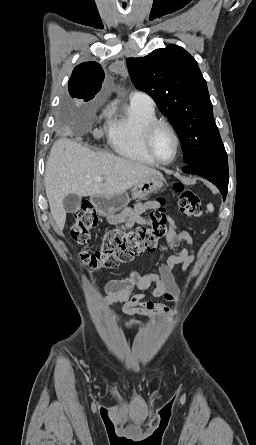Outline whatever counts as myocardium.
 Masks as SVG:
<instances>
[{
	"label": "myocardium",
	"instance_id": "obj_1",
	"mask_svg": "<svg viewBox=\"0 0 256 445\" xmlns=\"http://www.w3.org/2000/svg\"><path fill=\"white\" fill-rule=\"evenodd\" d=\"M160 127L167 128L173 135V137L175 139V143H176L175 154L168 161H164V160H161L160 158H158L157 155L155 154L154 147H153V138H154L155 132ZM143 143H144V148H145L147 154L149 155V157L154 161V163H157L159 165H170V164L174 163L180 155L181 140H180L179 134H178L177 130L175 129V127L166 120L156 119V120H153L152 122H150L148 125H146V127L144 128V131H143Z\"/></svg>",
	"mask_w": 256,
	"mask_h": 445
}]
</instances>
